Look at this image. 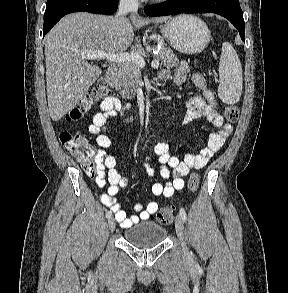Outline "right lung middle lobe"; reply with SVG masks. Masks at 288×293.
I'll return each mask as SVG.
<instances>
[{
  "label": "right lung middle lobe",
  "instance_id": "1",
  "mask_svg": "<svg viewBox=\"0 0 288 293\" xmlns=\"http://www.w3.org/2000/svg\"><path fill=\"white\" fill-rule=\"evenodd\" d=\"M58 1H60V0H48L47 5L53 4V3L58 2Z\"/></svg>",
  "mask_w": 288,
  "mask_h": 293
}]
</instances>
